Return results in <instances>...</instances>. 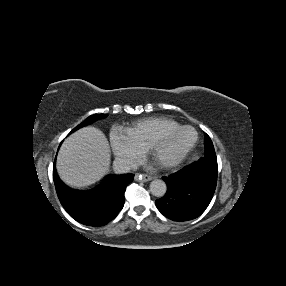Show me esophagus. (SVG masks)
<instances>
[{
    "label": "esophagus",
    "mask_w": 286,
    "mask_h": 286,
    "mask_svg": "<svg viewBox=\"0 0 286 286\" xmlns=\"http://www.w3.org/2000/svg\"><path fill=\"white\" fill-rule=\"evenodd\" d=\"M135 179L143 181V182H147V181H150L152 179V176H150L148 174H136Z\"/></svg>",
    "instance_id": "34e87169"
}]
</instances>
